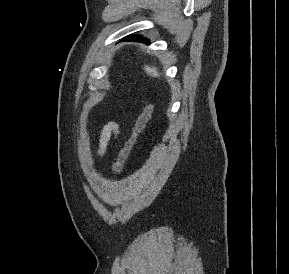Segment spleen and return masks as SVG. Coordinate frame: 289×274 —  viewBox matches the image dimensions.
<instances>
[{
  "instance_id": "1",
  "label": "spleen",
  "mask_w": 289,
  "mask_h": 274,
  "mask_svg": "<svg viewBox=\"0 0 289 274\" xmlns=\"http://www.w3.org/2000/svg\"><path fill=\"white\" fill-rule=\"evenodd\" d=\"M144 70L148 75H151L153 77L159 76L157 69L155 67H149L148 65L144 67Z\"/></svg>"
}]
</instances>
